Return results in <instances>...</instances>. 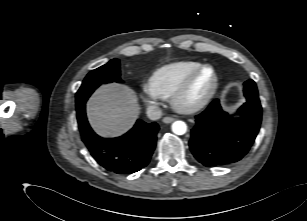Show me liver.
<instances>
[{
	"mask_svg": "<svg viewBox=\"0 0 307 221\" xmlns=\"http://www.w3.org/2000/svg\"><path fill=\"white\" fill-rule=\"evenodd\" d=\"M86 110L91 127L102 137L127 132L140 114L136 93L116 83L99 87L88 100Z\"/></svg>",
	"mask_w": 307,
	"mask_h": 221,
	"instance_id": "6515ba94",
	"label": "liver"
}]
</instances>
